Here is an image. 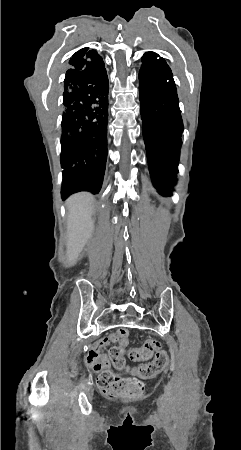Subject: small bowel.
Wrapping results in <instances>:
<instances>
[{
	"label": "small bowel",
	"instance_id": "1",
	"mask_svg": "<svg viewBox=\"0 0 241 450\" xmlns=\"http://www.w3.org/2000/svg\"><path fill=\"white\" fill-rule=\"evenodd\" d=\"M119 341L121 347H126L129 344V331L125 327L118 329L117 333L111 334L109 338L99 341L94 348H92L87 356L86 363L95 371H101L104 367L110 365V359L107 355L101 354V351L108 345L109 342Z\"/></svg>",
	"mask_w": 241,
	"mask_h": 450
}]
</instances>
